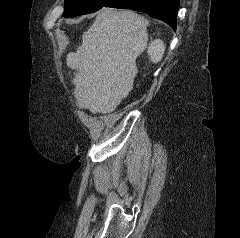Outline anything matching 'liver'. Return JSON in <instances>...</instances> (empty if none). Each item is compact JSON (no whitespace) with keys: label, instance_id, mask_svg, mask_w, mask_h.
Listing matches in <instances>:
<instances>
[{"label":"liver","instance_id":"liver-1","mask_svg":"<svg viewBox=\"0 0 240 238\" xmlns=\"http://www.w3.org/2000/svg\"><path fill=\"white\" fill-rule=\"evenodd\" d=\"M148 21L132 11L101 10L82 36L76 53L67 55L74 69V96L80 108L107 114L133 88L136 58L148 42Z\"/></svg>","mask_w":240,"mask_h":238}]
</instances>
